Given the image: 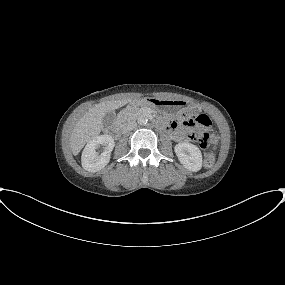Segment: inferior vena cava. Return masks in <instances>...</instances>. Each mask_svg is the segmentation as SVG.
I'll list each match as a JSON object with an SVG mask.
<instances>
[{
	"instance_id": "1",
	"label": "inferior vena cava",
	"mask_w": 285,
	"mask_h": 285,
	"mask_svg": "<svg viewBox=\"0 0 285 285\" xmlns=\"http://www.w3.org/2000/svg\"><path fill=\"white\" fill-rule=\"evenodd\" d=\"M137 126V123L132 121V122H128V123H125L123 126H122V133L123 134H126L132 130H134Z\"/></svg>"
}]
</instances>
